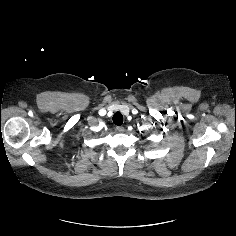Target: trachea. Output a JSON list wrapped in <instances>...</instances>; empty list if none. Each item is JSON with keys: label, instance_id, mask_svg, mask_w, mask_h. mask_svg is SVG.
I'll list each match as a JSON object with an SVG mask.
<instances>
[{"label": "trachea", "instance_id": "3493384b", "mask_svg": "<svg viewBox=\"0 0 236 236\" xmlns=\"http://www.w3.org/2000/svg\"><path fill=\"white\" fill-rule=\"evenodd\" d=\"M113 122H114V124H116L118 126L122 125V123H123V116H122V114L119 113V112L115 113L113 115Z\"/></svg>", "mask_w": 236, "mask_h": 236}]
</instances>
